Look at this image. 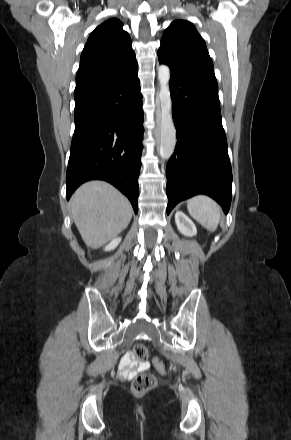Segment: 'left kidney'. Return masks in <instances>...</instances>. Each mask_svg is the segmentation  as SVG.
Instances as JSON below:
<instances>
[{"label": "left kidney", "mask_w": 291, "mask_h": 440, "mask_svg": "<svg viewBox=\"0 0 291 440\" xmlns=\"http://www.w3.org/2000/svg\"><path fill=\"white\" fill-rule=\"evenodd\" d=\"M175 223L181 234L187 237L196 235L197 229L193 221L182 211L175 213Z\"/></svg>", "instance_id": "obj_1"}]
</instances>
